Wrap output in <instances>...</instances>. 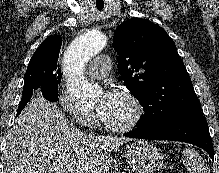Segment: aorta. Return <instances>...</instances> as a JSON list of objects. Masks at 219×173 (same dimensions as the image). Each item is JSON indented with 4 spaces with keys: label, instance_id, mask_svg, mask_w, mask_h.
I'll list each match as a JSON object with an SVG mask.
<instances>
[{
    "label": "aorta",
    "instance_id": "obj_1",
    "mask_svg": "<svg viewBox=\"0 0 219 173\" xmlns=\"http://www.w3.org/2000/svg\"><path fill=\"white\" fill-rule=\"evenodd\" d=\"M106 44L105 34L93 29L74 39L65 51L63 70L67 78L69 92L75 98L90 99L97 94L98 88L85 79L83 68Z\"/></svg>",
    "mask_w": 219,
    "mask_h": 173
}]
</instances>
